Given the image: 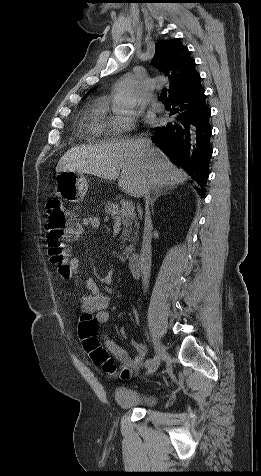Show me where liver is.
I'll return each instance as SVG.
<instances>
[{"label":"liver","instance_id":"6515ba94","mask_svg":"<svg viewBox=\"0 0 261 476\" xmlns=\"http://www.w3.org/2000/svg\"><path fill=\"white\" fill-rule=\"evenodd\" d=\"M141 140L122 139L71 148L59 160L56 172L76 171L106 180L118 179V186L137 198L143 196L147 179L155 189L174 188L190 178L149 139L150 148H140Z\"/></svg>","mask_w":261,"mask_h":476}]
</instances>
